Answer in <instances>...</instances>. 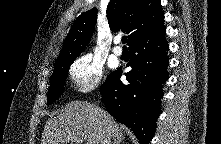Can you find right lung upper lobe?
Wrapping results in <instances>:
<instances>
[{
    "label": "right lung upper lobe",
    "mask_w": 221,
    "mask_h": 144,
    "mask_svg": "<svg viewBox=\"0 0 221 144\" xmlns=\"http://www.w3.org/2000/svg\"><path fill=\"white\" fill-rule=\"evenodd\" d=\"M107 18L112 31H126L129 45L136 38L161 25L164 14L160 0H110ZM96 20V7L77 17L63 43L55 66L76 59L89 43Z\"/></svg>",
    "instance_id": "1"
}]
</instances>
